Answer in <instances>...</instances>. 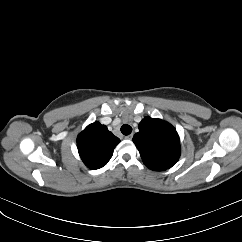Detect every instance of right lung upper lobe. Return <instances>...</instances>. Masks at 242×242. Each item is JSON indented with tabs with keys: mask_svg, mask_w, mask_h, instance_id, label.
Segmentation results:
<instances>
[{
	"mask_svg": "<svg viewBox=\"0 0 242 242\" xmlns=\"http://www.w3.org/2000/svg\"><path fill=\"white\" fill-rule=\"evenodd\" d=\"M119 142L120 139L113 135L105 125L94 122L78 135L77 148L85 165L95 170L108 163Z\"/></svg>",
	"mask_w": 242,
	"mask_h": 242,
	"instance_id": "cb5924a9",
	"label": "right lung upper lobe"
}]
</instances>
